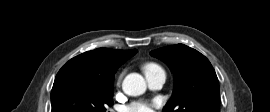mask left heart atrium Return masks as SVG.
<instances>
[{
    "instance_id": "obj_1",
    "label": "left heart atrium",
    "mask_w": 270,
    "mask_h": 112,
    "mask_svg": "<svg viewBox=\"0 0 270 112\" xmlns=\"http://www.w3.org/2000/svg\"><path fill=\"white\" fill-rule=\"evenodd\" d=\"M154 105L143 103V102H135L124 108V112H152V107Z\"/></svg>"
}]
</instances>
